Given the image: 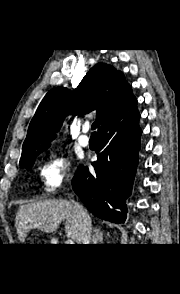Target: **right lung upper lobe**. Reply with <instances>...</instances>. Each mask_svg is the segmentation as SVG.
<instances>
[{"label": "right lung upper lobe", "instance_id": "right-lung-upper-lobe-1", "mask_svg": "<svg viewBox=\"0 0 180 294\" xmlns=\"http://www.w3.org/2000/svg\"><path fill=\"white\" fill-rule=\"evenodd\" d=\"M134 98L122 72L96 64L73 92L56 87L45 95L29 125L20 162L47 149L68 114L82 116L96 110L100 127Z\"/></svg>", "mask_w": 180, "mask_h": 294}]
</instances>
